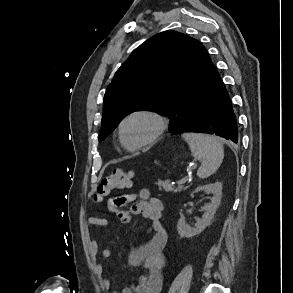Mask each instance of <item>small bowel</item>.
Masks as SVG:
<instances>
[{
	"label": "small bowel",
	"mask_w": 293,
	"mask_h": 293,
	"mask_svg": "<svg viewBox=\"0 0 293 293\" xmlns=\"http://www.w3.org/2000/svg\"><path fill=\"white\" fill-rule=\"evenodd\" d=\"M131 205L127 210L125 207ZM108 210L116 215L122 224H128L132 215H141L148 223L146 235L148 241L134 244L128 256L129 265L138 271L136 282L125 286L120 292L112 293H160L163 285V268L165 265L164 249L167 243V234L161 224L163 204L159 198L151 197L148 189L138 192L124 193L112 196L107 202ZM88 224L91 227L107 226L108 220L99 217H90ZM90 254L95 257L99 251V244L95 237L89 243ZM103 258H110L112 250L104 247L101 250ZM103 286L110 287L108 279L103 280Z\"/></svg>",
	"instance_id": "obj_1"
}]
</instances>
